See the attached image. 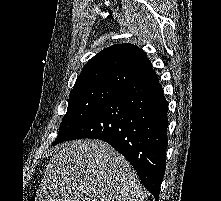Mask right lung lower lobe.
Masks as SVG:
<instances>
[{
    "label": "right lung lower lobe",
    "mask_w": 221,
    "mask_h": 201,
    "mask_svg": "<svg viewBox=\"0 0 221 201\" xmlns=\"http://www.w3.org/2000/svg\"><path fill=\"white\" fill-rule=\"evenodd\" d=\"M167 109L151 70L119 89L65 141L94 138L109 143L132 164L158 201L166 167Z\"/></svg>",
    "instance_id": "98d812e1"
}]
</instances>
